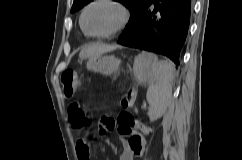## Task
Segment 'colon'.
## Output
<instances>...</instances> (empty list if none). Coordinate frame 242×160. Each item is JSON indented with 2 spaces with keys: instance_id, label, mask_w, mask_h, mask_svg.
<instances>
[{
  "instance_id": "colon-1",
  "label": "colon",
  "mask_w": 242,
  "mask_h": 160,
  "mask_svg": "<svg viewBox=\"0 0 242 160\" xmlns=\"http://www.w3.org/2000/svg\"><path fill=\"white\" fill-rule=\"evenodd\" d=\"M61 81L63 85V92L67 97H71L80 88L81 83L78 77V73L75 69H66L61 76ZM134 102V92L129 91L127 95L122 99V105L125 108H130ZM71 117L74 123L78 127H83L87 124L88 120L83 112V110L77 106L73 105L70 108ZM118 122L125 131L131 130L132 126H135L136 119L133 114L129 111L122 112L118 116Z\"/></svg>"
}]
</instances>
